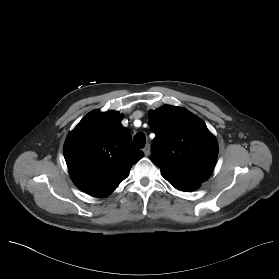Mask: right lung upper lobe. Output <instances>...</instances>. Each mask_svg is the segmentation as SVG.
Wrapping results in <instances>:
<instances>
[{
	"label": "right lung upper lobe",
	"instance_id": "obj_1",
	"mask_svg": "<svg viewBox=\"0 0 279 279\" xmlns=\"http://www.w3.org/2000/svg\"><path fill=\"white\" fill-rule=\"evenodd\" d=\"M116 111L93 110L71 131L64 156L75 185L91 196L110 195L144 156Z\"/></svg>",
	"mask_w": 279,
	"mask_h": 279
}]
</instances>
